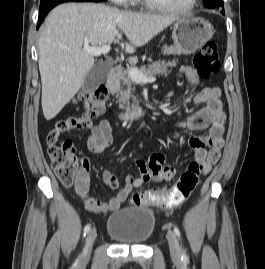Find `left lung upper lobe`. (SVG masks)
Wrapping results in <instances>:
<instances>
[{
	"label": "left lung upper lobe",
	"mask_w": 265,
	"mask_h": 269,
	"mask_svg": "<svg viewBox=\"0 0 265 269\" xmlns=\"http://www.w3.org/2000/svg\"><path fill=\"white\" fill-rule=\"evenodd\" d=\"M204 3L209 8H216L223 6V0H204Z\"/></svg>",
	"instance_id": "left-lung-upper-lobe-1"
}]
</instances>
